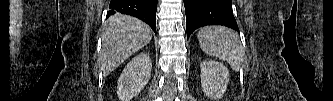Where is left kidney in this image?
Wrapping results in <instances>:
<instances>
[{
  "label": "left kidney",
  "instance_id": "obj_1",
  "mask_svg": "<svg viewBox=\"0 0 333 101\" xmlns=\"http://www.w3.org/2000/svg\"><path fill=\"white\" fill-rule=\"evenodd\" d=\"M200 68L203 92L213 99H220L229 82V70L217 61H202Z\"/></svg>",
  "mask_w": 333,
  "mask_h": 101
}]
</instances>
